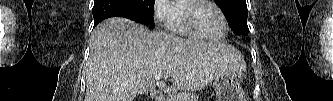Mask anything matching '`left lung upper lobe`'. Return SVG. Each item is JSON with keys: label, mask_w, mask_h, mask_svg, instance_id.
Segmentation results:
<instances>
[{"label": "left lung upper lobe", "mask_w": 333, "mask_h": 101, "mask_svg": "<svg viewBox=\"0 0 333 101\" xmlns=\"http://www.w3.org/2000/svg\"><path fill=\"white\" fill-rule=\"evenodd\" d=\"M226 15L231 29L236 34H248L246 0H214Z\"/></svg>", "instance_id": "5c2ea615"}]
</instances>
